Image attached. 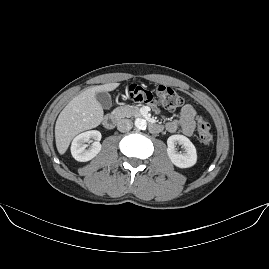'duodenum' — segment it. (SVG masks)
<instances>
[{"instance_id": "obj_1", "label": "duodenum", "mask_w": 269, "mask_h": 269, "mask_svg": "<svg viewBox=\"0 0 269 269\" xmlns=\"http://www.w3.org/2000/svg\"><path fill=\"white\" fill-rule=\"evenodd\" d=\"M137 115L141 118H147L146 112H143V111H138ZM102 123H103L104 128H106L107 130H112L116 125V118L113 115H106L103 118ZM148 128L150 132L152 133H159L162 129L161 125L155 122H149Z\"/></svg>"}]
</instances>
